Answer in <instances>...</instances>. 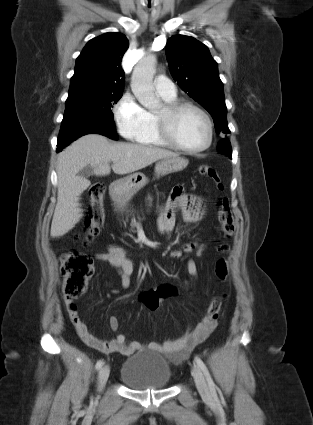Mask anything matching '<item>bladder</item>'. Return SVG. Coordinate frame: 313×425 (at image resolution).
<instances>
[{
    "instance_id": "1",
    "label": "bladder",
    "mask_w": 313,
    "mask_h": 425,
    "mask_svg": "<svg viewBox=\"0 0 313 425\" xmlns=\"http://www.w3.org/2000/svg\"><path fill=\"white\" fill-rule=\"evenodd\" d=\"M119 378L132 390L164 389L172 381V372L163 355L143 351L124 360Z\"/></svg>"
}]
</instances>
